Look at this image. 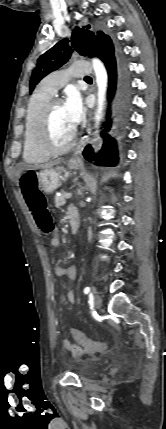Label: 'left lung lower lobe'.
Here are the masks:
<instances>
[{
	"label": "left lung lower lobe",
	"instance_id": "obj_1",
	"mask_svg": "<svg viewBox=\"0 0 166 429\" xmlns=\"http://www.w3.org/2000/svg\"><path fill=\"white\" fill-rule=\"evenodd\" d=\"M95 49V56L104 62L108 71V99L112 100L114 98L115 124L118 128H123L128 122L131 101V82L125 57L122 50L115 46L113 42L107 45L98 43ZM110 125L111 120H108L105 124V130L101 133L104 143L99 153L98 164L115 166L118 163L116 141L105 133V131L110 130ZM83 155L89 161L93 159L94 153L90 145L84 149Z\"/></svg>",
	"mask_w": 166,
	"mask_h": 429
}]
</instances>
